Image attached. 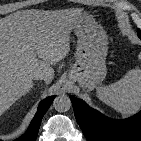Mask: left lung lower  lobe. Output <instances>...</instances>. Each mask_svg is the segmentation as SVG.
Wrapping results in <instances>:
<instances>
[{"label":"left lung lower lobe","mask_w":141,"mask_h":141,"mask_svg":"<svg viewBox=\"0 0 141 141\" xmlns=\"http://www.w3.org/2000/svg\"><path fill=\"white\" fill-rule=\"evenodd\" d=\"M141 38V31L138 30ZM74 113L88 141H141V112L125 120H112L71 97Z\"/></svg>","instance_id":"1"}]
</instances>
